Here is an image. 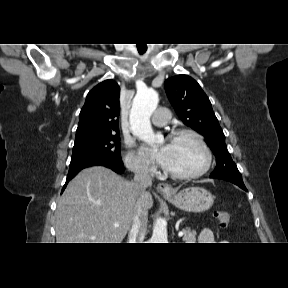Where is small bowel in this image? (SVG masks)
I'll return each instance as SVG.
<instances>
[{"label":"small bowel","instance_id":"small-bowel-1","mask_svg":"<svg viewBox=\"0 0 288 288\" xmlns=\"http://www.w3.org/2000/svg\"><path fill=\"white\" fill-rule=\"evenodd\" d=\"M198 242L204 243V244L214 243V234H213L212 230L207 229V228L203 229L199 234ZM220 243H226V242L222 241Z\"/></svg>","mask_w":288,"mask_h":288}]
</instances>
